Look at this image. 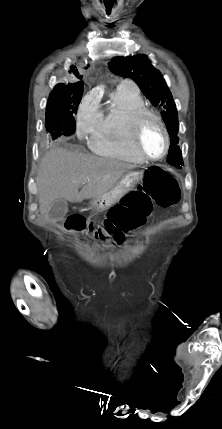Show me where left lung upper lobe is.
Instances as JSON below:
<instances>
[{"label":"left lung upper lobe","mask_w":222,"mask_h":429,"mask_svg":"<svg viewBox=\"0 0 222 429\" xmlns=\"http://www.w3.org/2000/svg\"><path fill=\"white\" fill-rule=\"evenodd\" d=\"M109 68L116 75L134 80L154 106L164 108L162 118L171 138L167 162L181 168L183 160L178 145L177 109L161 73L151 65L146 55L115 57L109 63Z\"/></svg>","instance_id":"5c2ea615"}]
</instances>
